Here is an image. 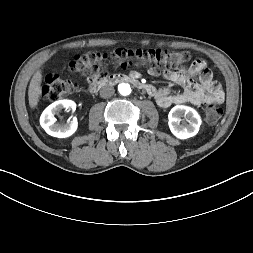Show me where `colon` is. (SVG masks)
<instances>
[{
	"label": "colon",
	"instance_id": "5ec220e1",
	"mask_svg": "<svg viewBox=\"0 0 253 253\" xmlns=\"http://www.w3.org/2000/svg\"><path fill=\"white\" fill-rule=\"evenodd\" d=\"M189 53L185 51H167L161 49H129L117 48L109 53L87 52L74 56L69 62L68 69L71 72L86 76L89 83L109 74L110 68L106 63L112 60L117 66L127 68L133 65H149L154 67L178 66L189 60ZM78 83L67 80L58 75H48L41 87L42 97L48 100H56L68 93L77 90ZM222 116V110L216 105L205 107V119L209 124H216Z\"/></svg>",
	"mask_w": 253,
	"mask_h": 253
}]
</instances>
